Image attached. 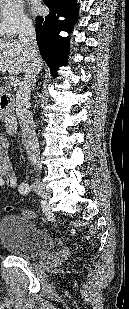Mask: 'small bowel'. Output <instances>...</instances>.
Instances as JSON below:
<instances>
[{"label":"small bowel","instance_id":"small-bowel-1","mask_svg":"<svg viewBox=\"0 0 129 309\" xmlns=\"http://www.w3.org/2000/svg\"><path fill=\"white\" fill-rule=\"evenodd\" d=\"M5 146V139L0 136V188L4 186L13 188L17 186V177L5 153Z\"/></svg>","mask_w":129,"mask_h":309}]
</instances>
